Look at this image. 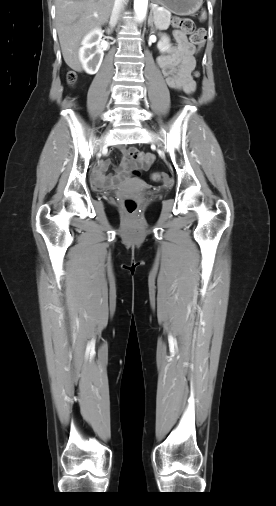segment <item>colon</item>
<instances>
[{"instance_id": "colon-1", "label": "colon", "mask_w": 276, "mask_h": 506, "mask_svg": "<svg viewBox=\"0 0 276 506\" xmlns=\"http://www.w3.org/2000/svg\"><path fill=\"white\" fill-rule=\"evenodd\" d=\"M174 25L184 34L190 37L192 44L200 50L206 41V33L203 29H196L194 26V22L187 17L175 18L173 21ZM67 80L69 83H74L76 81V75L73 72H69L67 75ZM134 176H139V171H133ZM152 179L156 182L168 183L167 175L164 173H154L152 175ZM124 209L126 212L133 214L137 211L138 203L134 198H126L123 202Z\"/></svg>"}]
</instances>
